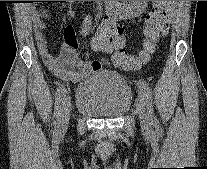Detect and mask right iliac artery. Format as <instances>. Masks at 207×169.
Listing matches in <instances>:
<instances>
[{"mask_svg": "<svg viewBox=\"0 0 207 169\" xmlns=\"http://www.w3.org/2000/svg\"><path fill=\"white\" fill-rule=\"evenodd\" d=\"M90 24H91L90 17L87 16L84 20V24L82 28L83 34L86 35L88 33ZM65 94H66V89L63 84H60L55 92L54 125L57 128L60 125V119H61Z\"/></svg>", "mask_w": 207, "mask_h": 169, "instance_id": "right-iliac-artery-1", "label": "right iliac artery"}]
</instances>
